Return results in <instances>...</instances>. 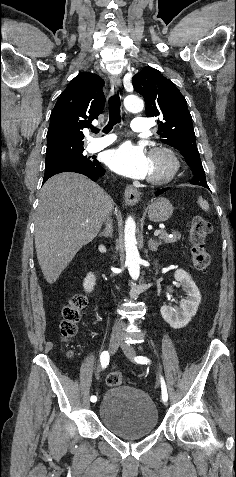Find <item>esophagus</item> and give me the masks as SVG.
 Returning <instances> with one entry per match:
<instances>
[{
	"instance_id": "34e87169",
	"label": "esophagus",
	"mask_w": 236,
	"mask_h": 477,
	"mask_svg": "<svg viewBox=\"0 0 236 477\" xmlns=\"http://www.w3.org/2000/svg\"><path fill=\"white\" fill-rule=\"evenodd\" d=\"M121 85V79L119 76L114 75L110 77V86L111 92L116 93L118 88ZM140 200V194L136 188L133 186L128 185L125 188L124 192V201L127 205H136Z\"/></svg>"
}]
</instances>
